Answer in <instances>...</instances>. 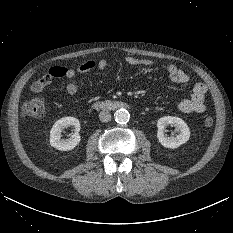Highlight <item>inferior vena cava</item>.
Segmentation results:
<instances>
[{
	"label": "inferior vena cava",
	"mask_w": 233,
	"mask_h": 233,
	"mask_svg": "<svg viewBox=\"0 0 233 233\" xmlns=\"http://www.w3.org/2000/svg\"><path fill=\"white\" fill-rule=\"evenodd\" d=\"M99 119L101 122H108L111 120V114L108 110H102L99 113Z\"/></svg>",
	"instance_id": "1"
}]
</instances>
